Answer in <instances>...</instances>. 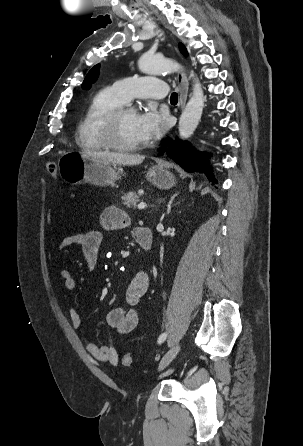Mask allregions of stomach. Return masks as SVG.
Returning a JSON list of instances; mask_svg holds the SVG:
<instances>
[{"mask_svg": "<svg viewBox=\"0 0 303 446\" xmlns=\"http://www.w3.org/2000/svg\"><path fill=\"white\" fill-rule=\"evenodd\" d=\"M60 177L71 185L90 182L97 186L114 185L121 178V169L115 165L94 161L82 154L65 152L58 160ZM160 189H170L175 183L174 175L164 167L155 166L146 175Z\"/></svg>", "mask_w": 303, "mask_h": 446, "instance_id": "1", "label": "stomach"}]
</instances>
